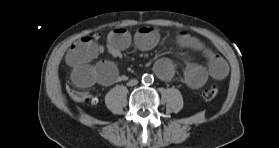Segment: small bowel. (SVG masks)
Wrapping results in <instances>:
<instances>
[{"mask_svg": "<svg viewBox=\"0 0 279 148\" xmlns=\"http://www.w3.org/2000/svg\"><path fill=\"white\" fill-rule=\"evenodd\" d=\"M100 35L93 34L75 42L66 53V62L72 68V81L80 88L92 85L111 86L120 76L116 66L109 60H101L96 64L91 62L105 50L113 56H119L132 43L141 50L154 48L159 41L158 32L152 27H141L134 37L124 28L112 30L103 46L99 42ZM181 46L200 52L207 60V66L185 61L183 79L190 88H199L209 77L217 80L225 78L229 67L227 62L218 54L211 51L196 37L181 33L178 36ZM156 74L163 80H170L175 72L173 62L168 58H160L154 65Z\"/></svg>", "mask_w": 279, "mask_h": 148, "instance_id": "c3829d8e", "label": "small bowel"}]
</instances>
